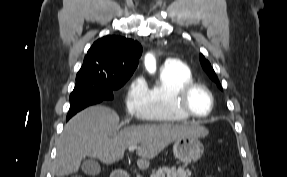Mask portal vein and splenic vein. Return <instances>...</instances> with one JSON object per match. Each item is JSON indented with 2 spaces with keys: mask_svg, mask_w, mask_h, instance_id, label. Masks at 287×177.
I'll use <instances>...</instances> for the list:
<instances>
[{
  "mask_svg": "<svg viewBox=\"0 0 287 177\" xmlns=\"http://www.w3.org/2000/svg\"><path fill=\"white\" fill-rule=\"evenodd\" d=\"M137 148V146H129L128 150L133 151ZM137 177H141L140 175H137Z\"/></svg>",
  "mask_w": 287,
  "mask_h": 177,
  "instance_id": "portal-vein-and-splenic-vein-1",
  "label": "portal vein and splenic vein"
}]
</instances>
